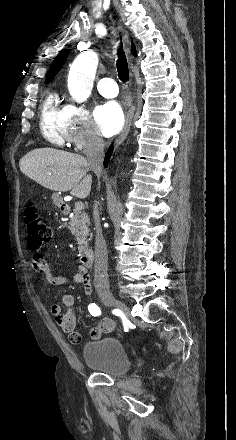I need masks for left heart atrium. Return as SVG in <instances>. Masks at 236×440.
I'll return each instance as SVG.
<instances>
[{
    "label": "left heart atrium",
    "instance_id": "left-heart-atrium-1",
    "mask_svg": "<svg viewBox=\"0 0 236 440\" xmlns=\"http://www.w3.org/2000/svg\"><path fill=\"white\" fill-rule=\"evenodd\" d=\"M95 120L102 135L109 137L116 134L124 123L121 106L114 101L105 102L96 108Z\"/></svg>",
    "mask_w": 236,
    "mask_h": 440
}]
</instances>
